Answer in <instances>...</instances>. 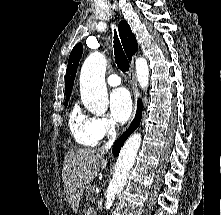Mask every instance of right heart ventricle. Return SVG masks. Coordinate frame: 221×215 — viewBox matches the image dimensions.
I'll list each match as a JSON object with an SVG mask.
<instances>
[{
	"label": "right heart ventricle",
	"instance_id": "1",
	"mask_svg": "<svg viewBox=\"0 0 221 215\" xmlns=\"http://www.w3.org/2000/svg\"><path fill=\"white\" fill-rule=\"evenodd\" d=\"M69 128L78 144L94 147L99 143L100 139L93 130V118L84 113L78 104H75L71 109Z\"/></svg>",
	"mask_w": 221,
	"mask_h": 215
}]
</instances>
